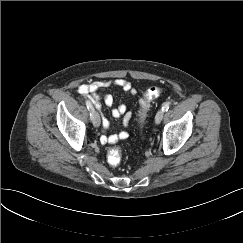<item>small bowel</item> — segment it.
Listing matches in <instances>:
<instances>
[{
  "instance_id": "obj_1",
  "label": "small bowel",
  "mask_w": 243,
  "mask_h": 243,
  "mask_svg": "<svg viewBox=\"0 0 243 243\" xmlns=\"http://www.w3.org/2000/svg\"><path fill=\"white\" fill-rule=\"evenodd\" d=\"M109 87H119L130 95L134 96L136 94L135 88L132 84L124 79L116 80H105V81H94L91 83L80 84L77 87L78 93L92 103L97 109H101L102 102L108 106H113L114 99L110 94H105L103 96L98 94V91L103 88ZM111 114L115 118L122 117V123L124 127H127L130 123L132 116L131 111H127V107L124 104H121L112 109ZM103 130H107L109 127V121L106 118H102ZM128 137L126 131H121L116 134L103 135L101 136V143L103 144H116L120 140H124Z\"/></svg>"
}]
</instances>
